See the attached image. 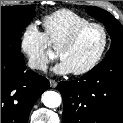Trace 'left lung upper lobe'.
Instances as JSON below:
<instances>
[{
  "label": "left lung upper lobe",
  "instance_id": "obj_1",
  "mask_svg": "<svg viewBox=\"0 0 123 123\" xmlns=\"http://www.w3.org/2000/svg\"><path fill=\"white\" fill-rule=\"evenodd\" d=\"M86 12L96 20L104 23L111 37L112 44L105 59L118 54H123V26L115 19L113 15L101 8L93 6L87 7Z\"/></svg>",
  "mask_w": 123,
  "mask_h": 123
}]
</instances>
